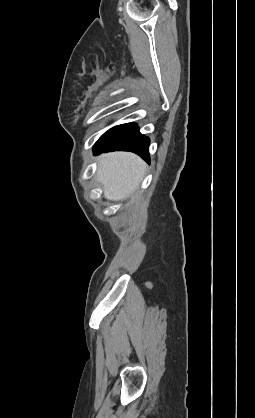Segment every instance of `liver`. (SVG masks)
<instances>
[{
    "instance_id": "6515ba94",
    "label": "liver",
    "mask_w": 255,
    "mask_h": 418,
    "mask_svg": "<svg viewBox=\"0 0 255 418\" xmlns=\"http://www.w3.org/2000/svg\"><path fill=\"white\" fill-rule=\"evenodd\" d=\"M146 164L129 152H113L99 157L97 178L104 188V197L120 201L129 198L143 179Z\"/></svg>"
}]
</instances>
